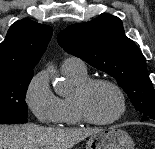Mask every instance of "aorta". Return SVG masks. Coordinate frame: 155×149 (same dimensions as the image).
<instances>
[{
    "label": "aorta",
    "instance_id": "1",
    "mask_svg": "<svg viewBox=\"0 0 155 149\" xmlns=\"http://www.w3.org/2000/svg\"><path fill=\"white\" fill-rule=\"evenodd\" d=\"M47 71L53 80V87H54L55 92L58 95L67 94L69 91V83L63 77H60L58 75V72L54 66L52 65L48 66Z\"/></svg>",
    "mask_w": 155,
    "mask_h": 149
}]
</instances>
